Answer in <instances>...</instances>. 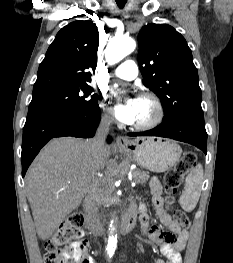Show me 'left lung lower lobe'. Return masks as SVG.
<instances>
[{
  "mask_svg": "<svg viewBox=\"0 0 233 263\" xmlns=\"http://www.w3.org/2000/svg\"><path fill=\"white\" fill-rule=\"evenodd\" d=\"M129 136H160L190 143L207 153V133L204 120L180 119L162 122L154 129L145 132L129 133Z\"/></svg>",
  "mask_w": 233,
  "mask_h": 263,
  "instance_id": "obj_1",
  "label": "left lung lower lobe"
}]
</instances>
